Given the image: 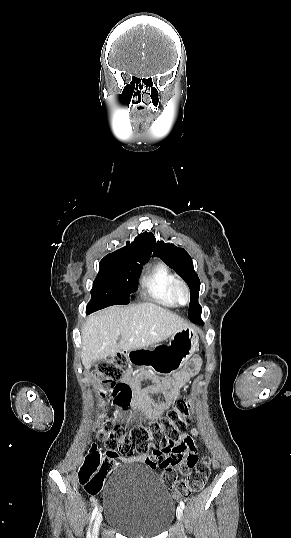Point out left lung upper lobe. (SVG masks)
Masks as SVG:
<instances>
[{
	"instance_id": "5c2ea615",
	"label": "left lung upper lobe",
	"mask_w": 291,
	"mask_h": 538,
	"mask_svg": "<svg viewBox=\"0 0 291 538\" xmlns=\"http://www.w3.org/2000/svg\"><path fill=\"white\" fill-rule=\"evenodd\" d=\"M153 253L160 257L170 268L182 277L190 289V304L188 318L192 321L194 315L201 311L198 304V293L200 289V280L193 268V262L190 255L183 249L174 244L156 242L152 233Z\"/></svg>"
}]
</instances>
